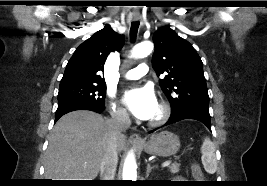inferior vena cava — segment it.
<instances>
[{
    "mask_svg": "<svg viewBox=\"0 0 267 186\" xmlns=\"http://www.w3.org/2000/svg\"><path fill=\"white\" fill-rule=\"evenodd\" d=\"M131 121L125 111H117L108 120V138L100 166L101 180H114L118 163L117 141L130 127Z\"/></svg>",
    "mask_w": 267,
    "mask_h": 186,
    "instance_id": "inferior-vena-cava-1",
    "label": "inferior vena cava"
}]
</instances>
